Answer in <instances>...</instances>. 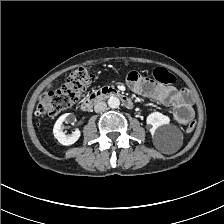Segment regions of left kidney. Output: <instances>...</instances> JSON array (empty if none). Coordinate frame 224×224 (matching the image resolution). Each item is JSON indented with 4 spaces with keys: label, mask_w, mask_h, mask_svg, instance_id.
<instances>
[{
    "label": "left kidney",
    "mask_w": 224,
    "mask_h": 224,
    "mask_svg": "<svg viewBox=\"0 0 224 224\" xmlns=\"http://www.w3.org/2000/svg\"><path fill=\"white\" fill-rule=\"evenodd\" d=\"M146 122L148 125L151 126L150 133L153 137L155 136L157 139H159L161 141L166 140V136L161 134L158 131V129H159V127H161L163 125L169 124L170 119L168 116H165L160 112H153L148 115Z\"/></svg>",
    "instance_id": "left-kidney-1"
}]
</instances>
